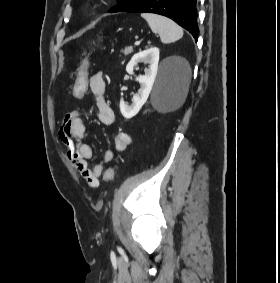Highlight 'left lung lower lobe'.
<instances>
[{"label": "left lung lower lobe", "instance_id": "1", "mask_svg": "<svg viewBox=\"0 0 280 283\" xmlns=\"http://www.w3.org/2000/svg\"><path fill=\"white\" fill-rule=\"evenodd\" d=\"M124 12H148L169 17L188 30L196 41L198 39L196 0H137Z\"/></svg>", "mask_w": 280, "mask_h": 283}]
</instances>
